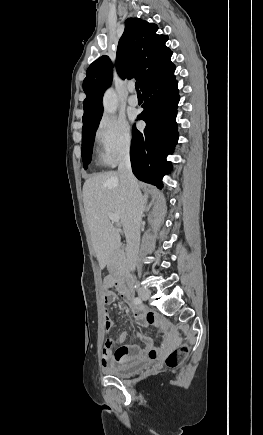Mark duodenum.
I'll return each mask as SVG.
<instances>
[{
	"label": "duodenum",
	"mask_w": 263,
	"mask_h": 435,
	"mask_svg": "<svg viewBox=\"0 0 263 435\" xmlns=\"http://www.w3.org/2000/svg\"><path fill=\"white\" fill-rule=\"evenodd\" d=\"M118 287L119 289L125 293V294H129L130 290H129V284H128V274L127 271L125 269H121L118 272V281H117Z\"/></svg>",
	"instance_id": "duodenum-1"
}]
</instances>
